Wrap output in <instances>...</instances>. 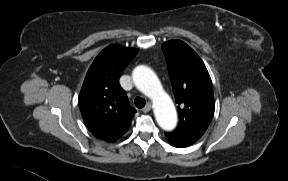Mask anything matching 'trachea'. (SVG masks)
<instances>
[{"instance_id":"1","label":"trachea","mask_w":288,"mask_h":181,"mask_svg":"<svg viewBox=\"0 0 288 181\" xmlns=\"http://www.w3.org/2000/svg\"><path fill=\"white\" fill-rule=\"evenodd\" d=\"M134 103H135L137 108H143L146 104V101L144 98L136 97L134 100Z\"/></svg>"}]
</instances>
